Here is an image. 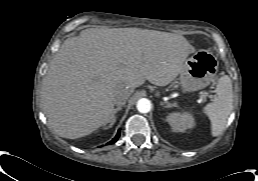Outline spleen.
<instances>
[{
  "mask_svg": "<svg viewBox=\"0 0 258 181\" xmlns=\"http://www.w3.org/2000/svg\"><path fill=\"white\" fill-rule=\"evenodd\" d=\"M233 110L232 81L228 75L220 77L213 102L207 104L203 112L211 121L212 136H218L226 125Z\"/></svg>",
  "mask_w": 258,
  "mask_h": 181,
  "instance_id": "3e777b00",
  "label": "spleen"
}]
</instances>
